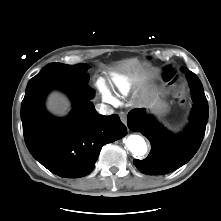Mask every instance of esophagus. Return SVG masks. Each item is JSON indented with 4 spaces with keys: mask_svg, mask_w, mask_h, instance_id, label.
I'll return each mask as SVG.
<instances>
[{
    "mask_svg": "<svg viewBox=\"0 0 221 221\" xmlns=\"http://www.w3.org/2000/svg\"><path fill=\"white\" fill-rule=\"evenodd\" d=\"M120 119H121V121L124 123V124H126L127 123V117H126V115L125 114H120Z\"/></svg>",
    "mask_w": 221,
    "mask_h": 221,
    "instance_id": "1",
    "label": "esophagus"
}]
</instances>
